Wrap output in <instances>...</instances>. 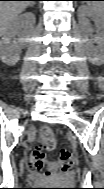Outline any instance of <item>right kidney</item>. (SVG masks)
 <instances>
[{"label":"right kidney","mask_w":104,"mask_h":189,"mask_svg":"<svg viewBox=\"0 0 104 189\" xmlns=\"http://www.w3.org/2000/svg\"><path fill=\"white\" fill-rule=\"evenodd\" d=\"M35 24V16L28 12L16 18L9 30L2 36L0 40V58L2 62L8 65H15L20 57L21 49L25 47L28 42L22 33L24 28L33 27ZM20 35H22L20 37ZM17 36H19L17 38Z\"/></svg>","instance_id":"1"}]
</instances>
